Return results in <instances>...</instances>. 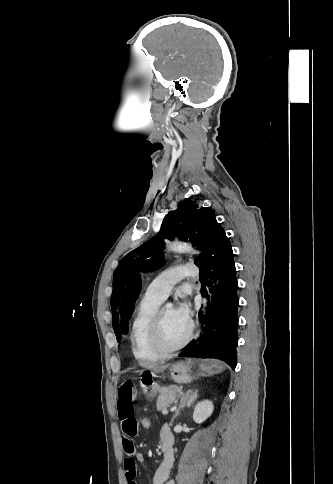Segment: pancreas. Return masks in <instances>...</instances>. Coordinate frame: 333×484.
I'll use <instances>...</instances> for the list:
<instances>
[{"mask_svg": "<svg viewBox=\"0 0 333 484\" xmlns=\"http://www.w3.org/2000/svg\"><path fill=\"white\" fill-rule=\"evenodd\" d=\"M181 395V386L170 385L167 387H163L157 399V410L163 413Z\"/></svg>", "mask_w": 333, "mask_h": 484, "instance_id": "obj_1", "label": "pancreas"}]
</instances>
